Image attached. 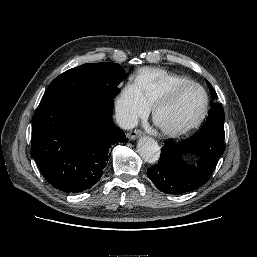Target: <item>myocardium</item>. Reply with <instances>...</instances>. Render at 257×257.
<instances>
[{"instance_id": "myocardium-1", "label": "myocardium", "mask_w": 257, "mask_h": 257, "mask_svg": "<svg viewBox=\"0 0 257 257\" xmlns=\"http://www.w3.org/2000/svg\"><path fill=\"white\" fill-rule=\"evenodd\" d=\"M191 87L199 88L204 95V106H203L201 112L199 113V115L197 116V118L190 124L176 127V128H168V127H165L164 125H162L158 118L159 110L163 106L172 102L174 100V98L181 91H183L187 88H191ZM209 106H210L209 95H208L207 91L205 90V88L202 85H200L199 83L191 81V82H187V83H183V84L174 86L166 94H164L162 97H160L153 105L152 115H153V119H154L155 123L157 124V126L159 127V129L161 130V132L164 135H166L168 137L176 138V137H180L183 135H187V134L191 133L192 131H194L195 129H197L200 126V124L203 122L205 117L207 116L208 111H209Z\"/></svg>"}]
</instances>
